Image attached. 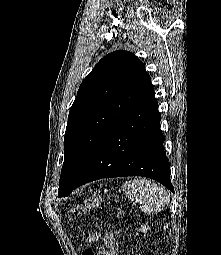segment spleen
<instances>
[{
    "label": "spleen",
    "mask_w": 221,
    "mask_h": 255,
    "mask_svg": "<svg viewBox=\"0 0 221 255\" xmlns=\"http://www.w3.org/2000/svg\"><path fill=\"white\" fill-rule=\"evenodd\" d=\"M122 190L131 200L140 204V209L147 214L160 212L170 201L168 191L155 182L146 179L126 181Z\"/></svg>",
    "instance_id": "3e777b00"
}]
</instances>
